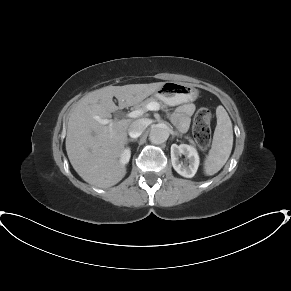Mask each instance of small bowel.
<instances>
[{
  "mask_svg": "<svg viewBox=\"0 0 291 291\" xmlns=\"http://www.w3.org/2000/svg\"><path fill=\"white\" fill-rule=\"evenodd\" d=\"M193 104H183L171 114V120L174 125L181 131H185L189 125V118L194 113Z\"/></svg>",
  "mask_w": 291,
  "mask_h": 291,
  "instance_id": "small-bowel-1",
  "label": "small bowel"
}]
</instances>
